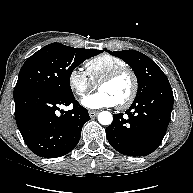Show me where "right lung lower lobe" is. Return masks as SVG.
Returning a JSON list of instances; mask_svg holds the SVG:
<instances>
[{
	"label": "right lung lower lobe",
	"mask_w": 193,
	"mask_h": 193,
	"mask_svg": "<svg viewBox=\"0 0 193 193\" xmlns=\"http://www.w3.org/2000/svg\"><path fill=\"white\" fill-rule=\"evenodd\" d=\"M14 100L20 133L29 149L40 157L56 158L69 153L79 142L83 125L90 120L88 110L73 95L35 90ZM70 104L72 110L57 115L60 105Z\"/></svg>",
	"instance_id": "obj_1"
}]
</instances>
